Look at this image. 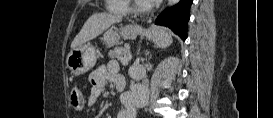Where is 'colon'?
Masks as SVG:
<instances>
[{
  "instance_id": "colon-1",
  "label": "colon",
  "mask_w": 273,
  "mask_h": 118,
  "mask_svg": "<svg viewBox=\"0 0 273 118\" xmlns=\"http://www.w3.org/2000/svg\"><path fill=\"white\" fill-rule=\"evenodd\" d=\"M71 106L75 110H81L84 107V95L79 87H74L70 93Z\"/></svg>"
}]
</instances>
